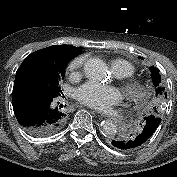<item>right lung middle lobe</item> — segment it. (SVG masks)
Wrapping results in <instances>:
<instances>
[{
    "mask_svg": "<svg viewBox=\"0 0 177 177\" xmlns=\"http://www.w3.org/2000/svg\"><path fill=\"white\" fill-rule=\"evenodd\" d=\"M65 68L66 65L58 71L46 74L29 73L20 79L17 87L44 95L59 96L62 93L59 81L64 77Z\"/></svg>",
    "mask_w": 177,
    "mask_h": 177,
    "instance_id": "right-lung-middle-lobe-1",
    "label": "right lung middle lobe"
}]
</instances>
